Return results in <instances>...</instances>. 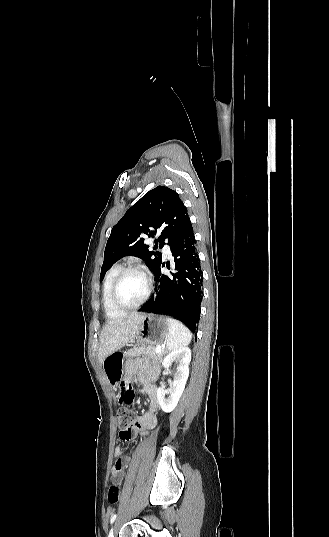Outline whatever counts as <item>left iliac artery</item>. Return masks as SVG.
<instances>
[{
    "label": "left iliac artery",
    "mask_w": 329,
    "mask_h": 537,
    "mask_svg": "<svg viewBox=\"0 0 329 537\" xmlns=\"http://www.w3.org/2000/svg\"><path fill=\"white\" fill-rule=\"evenodd\" d=\"M116 516H117L116 514H113V515L111 516V519H110V523H111V524L115 521Z\"/></svg>",
    "instance_id": "obj_1"
}]
</instances>
